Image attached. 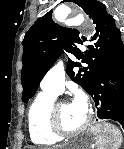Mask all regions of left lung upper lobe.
<instances>
[{
  "label": "left lung upper lobe",
  "instance_id": "5c2ea615",
  "mask_svg": "<svg viewBox=\"0 0 124 149\" xmlns=\"http://www.w3.org/2000/svg\"><path fill=\"white\" fill-rule=\"evenodd\" d=\"M79 5L96 25L92 37L82 36L78 30L61 27L52 20V10L39 18L28 30L23 40V68L21 82L22 100L34 96L47 71L65 50L82 63L71 59L67 63L69 77L83 89L87 90L95 80L102 67L120 59L124 55V44L120 30L114 18L106 12V7L96 0H72ZM88 41L85 52L77 50V45ZM80 67L78 72L73 69Z\"/></svg>",
  "mask_w": 124,
  "mask_h": 149
}]
</instances>
